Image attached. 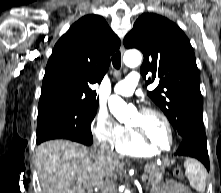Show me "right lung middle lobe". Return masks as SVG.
Here are the masks:
<instances>
[{"label": "right lung middle lobe", "mask_w": 221, "mask_h": 193, "mask_svg": "<svg viewBox=\"0 0 221 193\" xmlns=\"http://www.w3.org/2000/svg\"><path fill=\"white\" fill-rule=\"evenodd\" d=\"M97 105H53L41 108L37 120V144L50 139H70L88 145Z\"/></svg>", "instance_id": "right-lung-middle-lobe-1"}]
</instances>
